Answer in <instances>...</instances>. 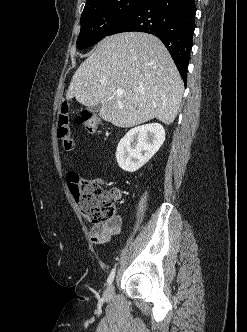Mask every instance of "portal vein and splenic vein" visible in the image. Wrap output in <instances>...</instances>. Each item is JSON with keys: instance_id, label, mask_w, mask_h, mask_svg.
I'll return each mask as SVG.
<instances>
[{"instance_id": "portal-vein-and-splenic-vein-1", "label": "portal vein and splenic vein", "mask_w": 247, "mask_h": 332, "mask_svg": "<svg viewBox=\"0 0 247 332\" xmlns=\"http://www.w3.org/2000/svg\"><path fill=\"white\" fill-rule=\"evenodd\" d=\"M116 93H117V95H122V94H123V90H122V89H118V90L116 91Z\"/></svg>"}]
</instances>
